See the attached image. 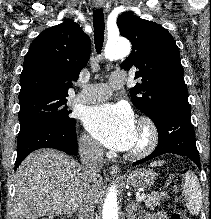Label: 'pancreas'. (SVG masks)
<instances>
[{"label":"pancreas","instance_id":"obj_1","mask_svg":"<svg viewBox=\"0 0 211 219\" xmlns=\"http://www.w3.org/2000/svg\"><path fill=\"white\" fill-rule=\"evenodd\" d=\"M166 192L161 193H155L152 192L151 194H148L145 199H143L145 205L147 208L154 209L156 206L160 205V201L166 197Z\"/></svg>","mask_w":211,"mask_h":219}]
</instances>
